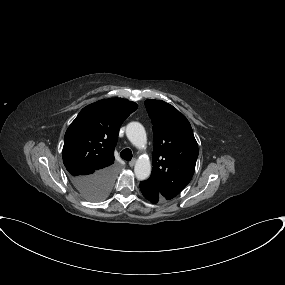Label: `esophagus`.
Masks as SVG:
<instances>
[{
  "instance_id": "34e87169",
  "label": "esophagus",
  "mask_w": 285,
  "mask_h": 285,
  "mask_svg": "<svg viewBox=\"0 0 285 285\" xmlns=\"http://www.w3.org/2000/svg\"><path fill=\"white\" fill-rule=\"evenodd\" d=\"M135 163H136V159H133L129 162V166L133 167L135 165Z\"/></svg>"
}]
</instances>
